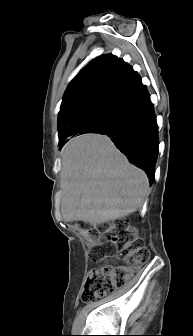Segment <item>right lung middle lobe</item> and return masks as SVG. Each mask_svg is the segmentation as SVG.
<instances>
[{"instance_id": "obj_1", "label": "right lung middle lobe", "mask_w": 193, "mask_h": 336, "mask_svg": "<svg viewBox=\"0 0 193 336\" xmlns=\"http://www.w3.org/2000/svg\"><path fill=\"white\" fill-rule=\"evenodd\" d=\"M110 111L111 109H103L93 114L83 116L73 123L74 125L71 129L75 133H97L103 128Z\"/></svg>"}]
</instances>
